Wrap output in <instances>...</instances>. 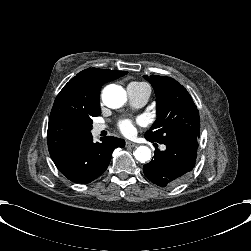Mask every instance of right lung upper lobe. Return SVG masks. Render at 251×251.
I'll return each mask as SVG.
<instances>
[{
  "label": "right lung upper lobe",
  "mask_w": 251,
  "mask_h": 251,
  "mask_svg": "<svg viewBox=\"0 0 251 251\" xmlns=\"http://www.w3.org/2000/svg\"><path fill=\"white\" fill-rule=\"evenodd\" d=\"M127 73L89 68L78 73L63 87L49 117L47 142L52 160L65 155L91 135L90 121L101 114L102 85Z\"/></svg>",
  "instance_id": "cb5924a9"
}]
</instances>
